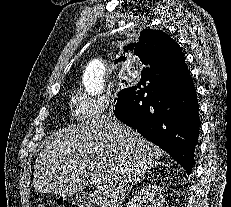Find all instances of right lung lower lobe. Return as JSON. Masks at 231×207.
Masks as SVG:
<instances>
[{
  "instance_id": "98d812e1",
  "label": "right lung lower lobe",
  "mask_w": 231,
  "mask_h": 207,
  "mask_svg": "<svg viewBox=\"0 0 231 207\" xmlns=\"http://www.w3.org/2000/svg\"><path fill=\"white\" fill-rule=\"evenodd\" d=\"M149 30L142 31L145 36ZM114 114L158 145L189 175L199 137V105L187 65L179 70L143 68L137 86L123 89Z\"/></svg>"
}]
</instances>
